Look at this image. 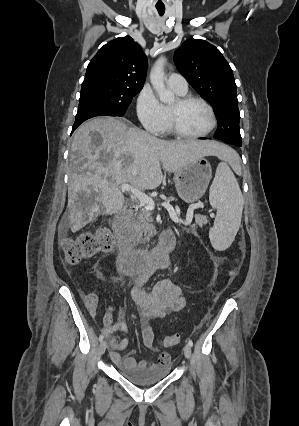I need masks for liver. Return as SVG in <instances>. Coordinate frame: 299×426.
<instances>
[{"label":"liver","instance_id":"1","mask_svg":"<svg viewBox=\"0 0 299 426\" xmlns=\"http://www.w3.org/2000/svg\"><path fill=\"white\" fill-rule=\"evenodd\" d=\"M93 131L100 134V143L91 138ZM231 154L216 141L161 140L112 117L87 121L75 132L71 146L69 226L76 232L102 213L120 212L126 202L120 184L152 190L163 180L162 168L175 173L201 157L226 160Z\"/></svg>","mask_w":299,"mask_h":426}]
</instances>
